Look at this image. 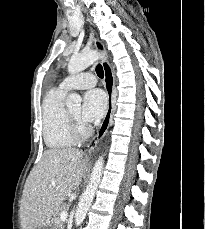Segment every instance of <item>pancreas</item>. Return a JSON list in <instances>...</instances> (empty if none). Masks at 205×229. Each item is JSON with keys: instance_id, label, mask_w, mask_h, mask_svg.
<instances>
[{"instance_id": "obj_1", "label": "pancreas", "mask_w": 205, "mask_h": 229, "mask_svg": "<svg viewBox=\"0 0 205 229\" xmlns=\"http://www.w3.org/2000/svg\"><path fill=\"white\" fill-rule=\"evenodd\" d=\"M62 212H67L66 205L60 206L54 213L53 223H54L55 229H64V222L60 219V214Z\"/></svg>"}]
</instances>
